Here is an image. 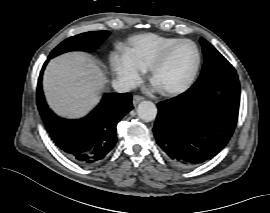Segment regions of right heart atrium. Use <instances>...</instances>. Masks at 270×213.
Here are the masks:
<instances>
[{
  "label": "right heart atrium",
  "mask_w": 270,
  "mask_h": 213,
  "mask_svg": "<svg viewBox=\"0 0 270 213\" xmlns=\"http://www.w3.org/2000/svg\"><path fill=\"white\" fill-rule=\"evenodd\" d=\"M112 61L114 70L121 80L130 85H136L140 82L143 69L130 65L122 55H113Z\"/></svg>",
  "instance_id": "right-heart-atrium-1"
}]
</instances>
